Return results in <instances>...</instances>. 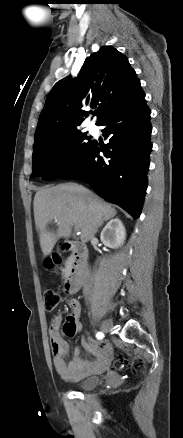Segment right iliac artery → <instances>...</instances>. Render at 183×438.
Returning <instances> with one entry per match:
<instances>
[{
  "label": "right iliac artery",
  "instance_id": "right-iliac-artery-1",
  "mask_svg": "<svg viewBox=\"0 0 183 438\" xmlns=\"http://www.w3.org/2000/svg\"><path fill=\"white\" fill-rule=\"evenodd\" d=\"M97 339H102L104 337V334L102 332H98L96 334Z\"/></svg>",
  "mask_w": 183,
  "mask_h": 438
}]
</instances>
